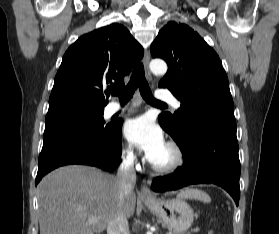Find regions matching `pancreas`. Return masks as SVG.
Listing matches in <instances>:
<instances>
[{
    "mask_svg": "<svg viewBox=\"0 0 279 234\" xmlns=\"http://www.w3.org/2000/svg\"><path fill=\"white\" fill-rule=\"evenodd\" d=\"M168 234H177L176 232H170V233H168Z\"/></svg>",
    "mask_w": 279,
    "mask_h": 234,
    "instance_id": "1",
    "label": "pancreas"
}]
</instances>
